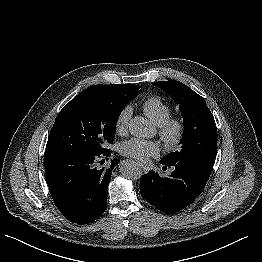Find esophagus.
I'll return each mask as SVG.
<instances>
[{
    "mask_svg": "<svg viewBox=\"0 0 262 262\" xmlns=\"http://www.w3.org/2000/svg\"><path fill=\"white\" fill-rule=\"evenodd\" d=\"M139 163V167L141 168V170L144 172V173H147L149 171V169L141 162H138Z\"/></svg>",
    "mask_w": 262,
    "mask_h": 262,
    "instance_id": "1",
    "label": "esophagus"
}]
</instances>
